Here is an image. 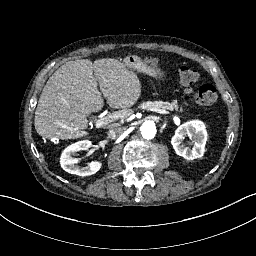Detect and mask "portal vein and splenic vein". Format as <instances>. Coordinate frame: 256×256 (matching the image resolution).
I'll use <instances>...</instances> for the list:
<instances>
[{
  "instance_id": "portal-vein-and-splenic-vein-1",
  "label": "portal vein and splenic vein",
  "mask_w": 256,
  "mask_h": 256,
  "mask_svg": "<svg viewBox=\"0 0 256 256\" xmlns=\"http://www.w3.org/2000/svg\"><path fill=\"white\" fill-rule=\"evenodd\" d=\"M137 109H140V106H137V107H133V110H137ZM141 109H145V110H150L152 112H156V113H161L162 114H170L169 111H166L164 110V108H153V107H149V106H141ZM133 114V111L132 110H129V109H126V112L125 111H119V112H115V113H112L110 115H106L100 119H97L94 121V126L95 128H101L102 126L104 125H107L115 120H120V119H123L124 117L126 116H130Z\"/></svg>"
}]
</instances>
